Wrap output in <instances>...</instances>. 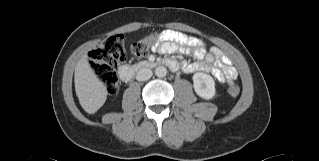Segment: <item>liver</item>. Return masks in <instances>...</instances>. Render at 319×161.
Listing matches in <instances>:
<instances>
[{"label":"liver","mask_w":319,"mask_h":161,"mask_svg":"<svg viewBox=\"0 0 319 161\" xmlns=\"http://www.w3.org/2000/svg\"><path fill=\"white\" fill-rule=\"evenodd\" d=\"M74 82L81 107L89 114L97 112L105 103L108 92L89 65L86 55L76 65Z\"/></svg>","instance_id":"obj_1"}]
</instances>
